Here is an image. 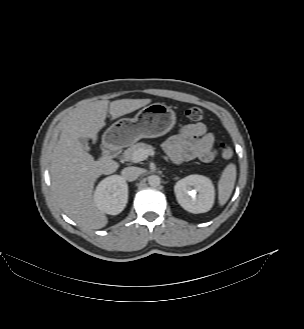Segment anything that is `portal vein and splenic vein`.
Instances as JSON below:
<instances>
[{"label": "portal vein and splenic vein", "mask_w": 304, "mask_h": 329, "mask_svg": "<svg viewBox=\"0 0 304 329\" xmlns=\"http://www.w3.org/2000/svg\"><path fill=\"white\" fill-rule=\"evenodd\" d=\"M153 149H139L135 151L132 155V160L135 162H140L148 158V156L154 155Z\"/></svg>", "instance_id": "portal-vein-and-splenic-vein-1"}]
</instances>
